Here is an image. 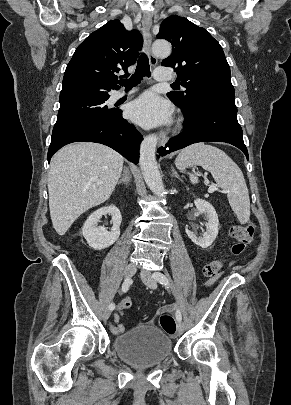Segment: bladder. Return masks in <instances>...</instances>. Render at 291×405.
Segmentation results:
<instances>
[{
	"label": "bladder",
	"instance_id": "bladder-1",
	"mask_svg": "<svg viewBox=\"0 0 291 405\" xmlns=\"http://www.w3.org/2000/svg\"><path fill=\"white\" fill-rule=\"evenodd\" d=\"M112 347L123 362L135 368L157 366L172 353L170 337L151 325H139L117 335Z\"/></svg>",
	"mask_w": 291,
	"mask_h": 405
}]
</instances>
